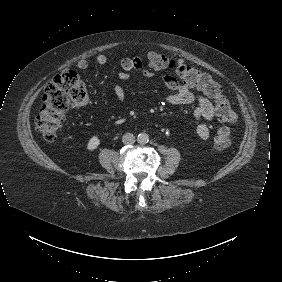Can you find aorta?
Here are the masks:
<instances>
[{"mask_svg": "<svg viewBox=\"0 0 282 282\" xmlns=\"http://www.w3.org/2000/svg\"><path fill=\"white\" fill-rule=\"evenodd\" d=\"M137 143L140 145H145L149 142V135L145 132H141L136 137Z\"/></svg>", "mask_w": 282, "mask_h": 282, "instance_id": "aorta-1", "label": "aorta"}]
</instances>
